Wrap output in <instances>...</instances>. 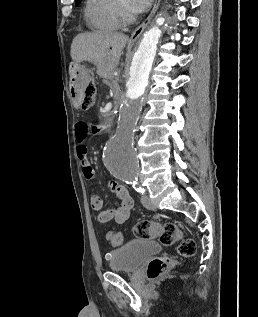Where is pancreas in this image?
Here are the masks:
<instances>
[{
  "mask_svg": "<svg viewBox=\"0 0 258 317\" xmlns=\"http://www.w3.org/2000/svg\"><path fill=\"white\" fill-rule=\"evenodd\" d=\"M110 92L111 93H116L117 92V89H118V85H119V82L117 81V78L116 77H111L110 78Z\"/></svg>",
  "mask_w": 258,
  "mask_h": 317,
  "instance_id": "1",
  "label": "pancreas"
}]
</instances>
